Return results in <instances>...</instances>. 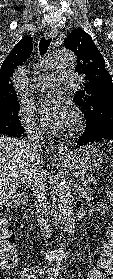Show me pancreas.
Wrapping results in <instances>:
<instances>
[{
  "label": "pancreas",
  "instance_id": "obj_1",
  "mask_svg": "<svg viewBox=\"0 0 113 279\" xmlns=\"http://www.w3.org/2000/svg\"><path fill=\"white\" fill-rule=\"evenodd\" d=\"M78 175V180H80L83 184H90L94 183L96 184V178L92 174H87L85 172H78L76 173Z\"/></svg>",
  "mask_w": 113,
  "mask_h": 279
}]
</instances>
